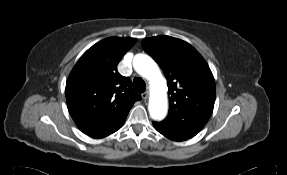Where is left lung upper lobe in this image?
Here are the masks:
<instances>
[{"label":"left lung upper lobe","mask_w":287,"mask_h":175,"mask_svg":"<svg viewBox=\"0 0 287 175\" xmlns=\"http://www.w3.org/2000/svg\"><path fill=\"white\" fill-rule=\"evenodd\" d=\"M142 47L168 82L169 112L160 123L187 139L194 137L209 120L215 102V81L208 64L190 44L170 36L145 38Z\"/></svg>","instance_id":"obj_1"}]
</instances>
